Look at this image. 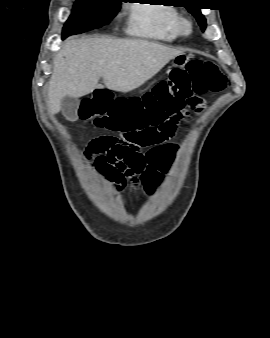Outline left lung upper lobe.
<instances>
[{
  "label": "left lung upper lobe",
  "mask_w": 270,
  "mask_h": 338,
  "mask_svg": "<svg viewBox=\"0 0 270 338\" xmlns=\"http://www.w3.org/2000/svg\"><path fill=\"white\" fill-rule=\"evenodd\" d=\"M191 2H200V1H191ZM186 8L196 18V20L198 21V23L201 26L202 30L204 31L205 28H206V19L202 15V13L200 12L201 8H199L197 6H188Z\"/></svg>",
  "instance_id": "left-lung-upper-lobe-1"
}]
</instances>
